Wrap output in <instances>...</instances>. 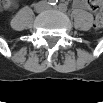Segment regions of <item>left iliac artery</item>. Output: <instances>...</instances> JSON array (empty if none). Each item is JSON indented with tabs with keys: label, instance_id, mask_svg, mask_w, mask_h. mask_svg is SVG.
<instances>
[{
	"label": "left iliac artery",
	"instance_id": "obj_1",
	"mask_svg": "<svg viewBox=\"0 0 103 103\" xmlns=\"http://www.w3.org/2000/svg\"><path fill=\"white\" fill-rule=\"evenodd\" d=\"M59 9L63 12H66L67 11V5L64 4V3H60L59 4Z\"/></svg>",
	"mask_w": 103,
	"mask_h": 103
}]
</instances>
